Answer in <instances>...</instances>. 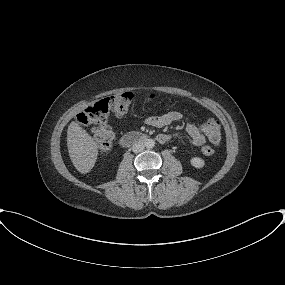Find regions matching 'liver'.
Here are the masks:
<instances>
[{
    "label": "liver",
    "mask_w": 285,
    "mask_h": 285,
    "mask_svg": "<svg viewBox=\"0 0 285 285\" xmlns=\"http://www.w3.org/2000/svg\"><path fill=\"white\" fill-rule=\"evenodd\" d=\"M67 146L74 167L82 174L90 172L97 159V144L75 121L68 126Z\"/></svg>",
    "instance_id": "liver-1"
}]
</instances>
